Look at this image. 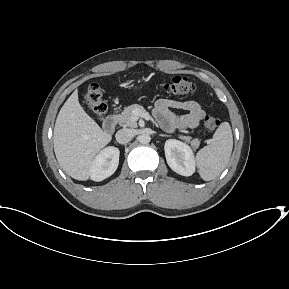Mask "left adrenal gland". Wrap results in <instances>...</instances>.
Instances as JSON below:
<instances>
[{
	"label": "left adrenal gland",
	"instance_id": "a2214340",
	"mask_svg": "<svg viewBox=\"0 0 289 289\" xmlns=\"http://www.w3.org/2000/svg\"><path fill=\"white\" fill-rule=\"evenodd\" d=\"M159 136H162V137H169L170 135H167V134H160Z\"/></svg>",
	"mask_w": 289,
	"mask_h": 289
}]
</instances>
